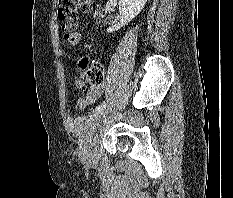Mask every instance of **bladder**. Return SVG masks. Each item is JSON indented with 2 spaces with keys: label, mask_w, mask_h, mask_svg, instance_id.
I'll use <instances>...</instances> for the list:
<instances>
[{
  "label": "bladder",
  "mask_w": 233,
  "mask_h": 198,
  "mask_svg": "<svg viewBox=\"0 0 233 198\" xmlns=\"http://www.w3.org/2000/svg\"><path fill=\"white\" fill-rule=\"evenodd\" d=\"M101 115L77 118L73 123V133L82 148H92L102 129Z\"/></svg>",
  "instance_id": "31cf9c89"
}]
</instances>
